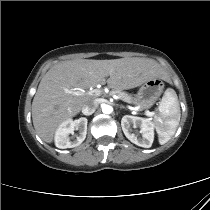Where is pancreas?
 <instances>
[{"mask_svg":"<svg viewBox=\"0 0 210 210\" xmlns=\"http://www.w3.org/2000/svg\"><path fill=\"white\" fill-rule=\"evenodd\" d=\"M111 93L117 95L122 101L127 103H131L133 100L131 95L120 90H113Z\"/></svg>","mask_w":210,"mask_h":210,"instance_id":"pancreas-1","label":"pancreas"}]
</instances>
